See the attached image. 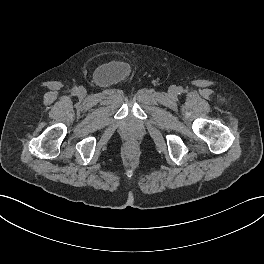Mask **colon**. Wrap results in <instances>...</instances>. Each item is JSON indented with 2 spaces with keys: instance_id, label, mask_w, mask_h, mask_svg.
I'll use <instances>...</instances> for the list:
<instances>
[{
  "instance_id": "1",
  "label": "colon",
  "mask_w": 264,
  "mask_h": 264,
  "mask_svg": "<svg viewBox=\"0 0 264 264\" xmlns=\"http://www.w3.org/2000/svg\"><path fill=\"white\" fill-rule=\"evenodd\" d=\"M133 148H134V146H133V145H130V146H129V150H130V151H132V150H133Z\"/></svg>"
}]
</instances>
